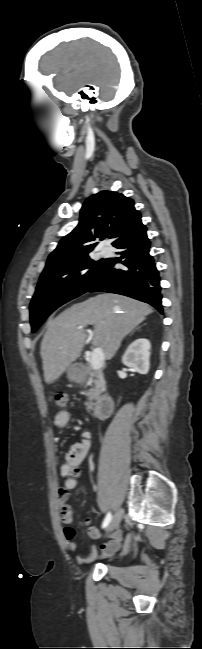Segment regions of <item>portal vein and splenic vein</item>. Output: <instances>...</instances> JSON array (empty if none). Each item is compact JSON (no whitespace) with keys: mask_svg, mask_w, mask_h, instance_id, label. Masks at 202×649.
Returning <instances> with one entry per match:
<instances>
[{"mask_svg":"<svg viewBox=\"0 0 202 649\" xmlns=\"http://www.w3.org/2000/svg\"><path fill=\"white\" fill-rule=\"evenodd\" d=\"M78 329H81V327H79ZM104 359L105 358L102 349L100 347L95 348L91 354L90 360L92 368L94 370H99L103 366Z\"/></svg>","mask_w":202,"mask_h":649,"instance_id":"obj_1","label":"portal vein and splenic vein"}]
</instances>
